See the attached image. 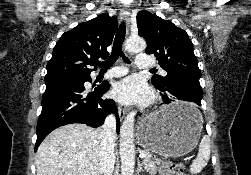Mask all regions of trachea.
<instances>
[{"label": "trachea", "instance_id": "3493384b", "mask_svg": "<svg viewBox=\"0 0 251 175\" xmlns=\"http://www.w3.org/2000/svg\"><path fill=\"white\" fill-rule=\"evenodd\" d=\"M122 22L123 23L120 24L118 31L115 35L113 49H112V53H111L110 57L107 58V60H105L104 62H100L97 64L98 67L101 68V71L108 70V68H110L113 65V63L116 62V60L118 59L119 56H121L124 61H127V63H130L129 59L124 55V53L122 51V44H123L125 34H126L125 23H124V21H122ZM150 71L156 72V70H154V69H152Z\"/></svg>", "mask_w": 251, "mask_h": 175}]
</instances>
